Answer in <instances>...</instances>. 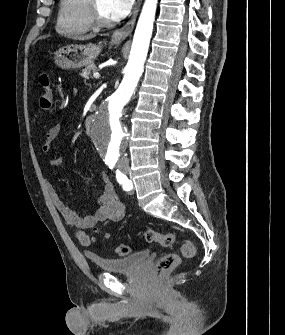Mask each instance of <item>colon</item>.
<instances>
[{"mask_svg": "<svg viewBox=\"0 0 285 335\" xmlns=\"http://www.w3.org/2000/svg\"><path fill=\"white\" fill-rule=\"evenodd\" d=\"M41 91L39 94V109L41 112H47L52 106L53 94L50 85V79L47 73L43 72L39 78ZM143 238L150 243H157L164 247H171L176 244L178 236L175 233H158L153 229H146L142 233ZM180 252L170 253L162 256L154 267V274L157 277H163L169 274L174 268L180 265L184 260L193 258L196 254L194 243L189 240H180ZM130 248L121 244L116 248V253L120 256L129 254Z\"/></svg>", "mask_w": 285, "mask_h": 335, "instance_id": "obj_1", "label": "colon"}]
</instances>
